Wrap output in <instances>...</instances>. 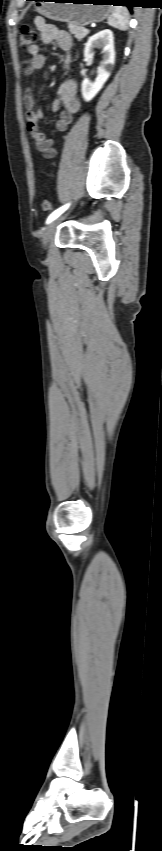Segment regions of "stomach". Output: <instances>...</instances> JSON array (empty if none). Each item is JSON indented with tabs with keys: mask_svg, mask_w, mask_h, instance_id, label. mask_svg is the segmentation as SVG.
Here are the masks:
<instances>
[{
	"mask_svg": "<svg viewBox=\"0 0 162 851\" xmlns=\"http://www.w3.org/2000/svg\"><path fill=\"white\" fill-rule=\"evenodd\" d=\"M35 8L44 17L61 22L85 26L103 21L111 12L105 0H38Z\"/></svg>",
	"mask_w": 162,
	"mask_h": 851,
	"instance_id": "stomach-1",
	"label": "stomach"
}]
</instances>
